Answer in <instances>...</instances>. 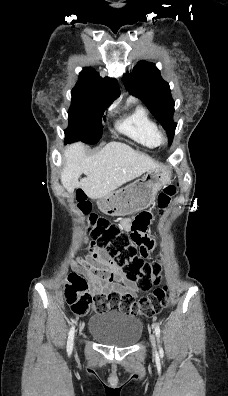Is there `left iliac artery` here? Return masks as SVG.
Returning a JSON list of instances; mask_svg holds the SVG:
<instances>
[{
    "instance_id": "obj_1",
    "label": "left iliac artery",
    "mask_w": 228,
    "mask_h": 396,
    "mask_svg": "<svg viewBox=\"0 0 228 396\" xmlns=\"http://www.w3.org/2000/svg\"><path fill=\"white\" fill-rule=\"evenodd\" d=\"M155 334H156L157 338L160 337V327L158 324L155 325ZM160 352H162L161 348H160Z\"/></svg>"
}]
</instances>
